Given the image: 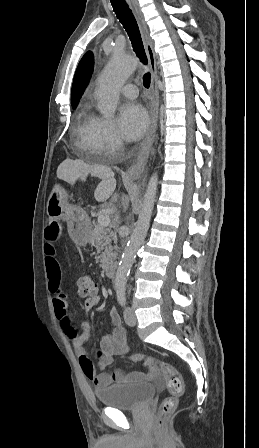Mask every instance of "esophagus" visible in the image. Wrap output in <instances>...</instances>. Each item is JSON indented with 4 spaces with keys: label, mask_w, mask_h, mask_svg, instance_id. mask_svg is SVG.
Returning a JSON list of instances; mask_svg holds the SVG:
<instances>
[{
    "label": "esophagus",
    "mask_w": 259,
    "mask_h": 448,
    "mask_svg": "<svg viewBox=\"0 0 259 448\" xmlns=\"http://www.w3.org/2000/svg\"><path fill=\"white\" fill-rule=\"evenodd\" d=\"M135 15V18L138 22L144 47L146 50V54L148 57V63L151 71V126L147 132L146 138L139 150L138 156L136 161L133 163V165L128 170V175L132 176L133 178L137 179L142 174L147 158L150 153V148L152 146V143L154 141L155 135H156V129L158 124V112H159V91H158V85H157V66H156V57L154 53L153 48V42L149 36L147 25L144 21V17L141 11V8L139 7V4L137 0H126Z\"/></svg>",
    "instance_id": "34e87169"
}]
</instances>
